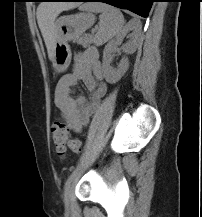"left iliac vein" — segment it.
<instances>
[{
  "label": "left iliac vein",
  "instance_id": "left-iliac-vein-1",
  "mask_svg": "<svg viewBox=\"0 0 202 217\" xmlns=\"http://www.w3.org/2000/svg\"><path fill=\"white\" fill-rule=\"evenodd\" d=\"M74 181H72L70 183V185L66 188L65 190V194H64V203H65V207L69 208L71 205V198H72V192H73V188H74Z\"/></svg>",
  "mask_w": 202,
  "mask_h": 217
}]
</instances>
